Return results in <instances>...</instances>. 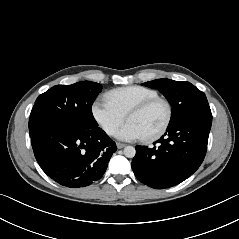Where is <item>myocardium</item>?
<instances>
[{
    "instance_id": "myocardium-1",
    "label": "myocardium",
    "mask_w": 239,
    "mask_h": 239,
    "mask_svg": "<svg viewBox=\"0 0 239 239\" xmlns=\"http://www.w3.org/2000/svg\"><path fill=\"white\" fill-rule=\"evenodd\" d=\"M157 103L164 104V106L166 108V117H165L162 125L155 132H153L147 136H144L143 139L147 140V141L159 138L169 127L171 120H172V116H173V108H172L170 101L167 100L166 98H163L160 96L154 97V98L148 99V100L143 101L140 104L136 105L126 115L127 119H128L130 116L142 113Z\"/></svg>"
}]
</instances>
